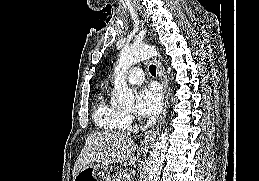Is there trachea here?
I'll return each mask as SVG.
<instances>
[{
    "label": "trachea",
    "mask_w": 259,
    "mask_h": 181,
    "mask_svg": "<svg viewBox=\"0 0 259 181\" xmlns=\"http://www.w3.org/2000/svg\"><path fill=\"white\" fill-rule=\"evenodd\" d=\"M149 72L151 73V75L155 76L156 75V66L150 65Z\"/></svg>",
    "instance_id": "trachea-1"
}]
</instances>
